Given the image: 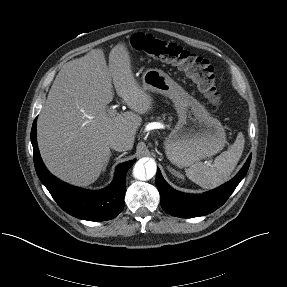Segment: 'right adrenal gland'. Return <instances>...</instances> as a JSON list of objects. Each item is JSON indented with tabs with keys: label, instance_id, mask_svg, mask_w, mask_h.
I'll return each mask as SVG.
<instances>
[{
	"label": "right adrenal gland",
	"instance_id": "2a0ac1e0",
	"mask_svg": "<svg viewBox=\"0 0 287 287\" xmlns=\"http://www.w3.org/2000/svg\"><path fill=\"white\" fill-rule=\"evenodd\" d=\"M112 156V154H110L109 156H108V159H107V161L105 162V165H104V167H103V171H105V169H106V167H107V165H108V163H109V160H110V157Z\"/></svg>",
	"mask_w": 287,
	"mask_h": 287
}]
</instances>
